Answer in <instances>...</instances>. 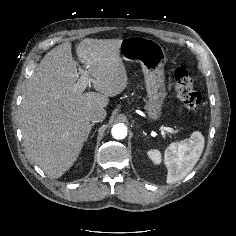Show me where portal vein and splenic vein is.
Masks as SVG:
<instances>
[{"label":"portal vein and splenic vein","mask_w":236,"mask_h":236,"mask_svg":"<svg viewBox=\"0 0 236 236\" xmlns=\"http://www.w3.org/2000/svg\"><path fill=\"white\" fill-rule=\"evenodd\" d=\"M79 71L84 72L83 69H81V68H79ZM86 87H87V83H86L85 77H82L81 78V85L79 86L80 92H83ZM160 129H161V131H166L171 134H176V131L170 127L161 126Z\"/></svg>","instance_id":"1"}]
</instances>
